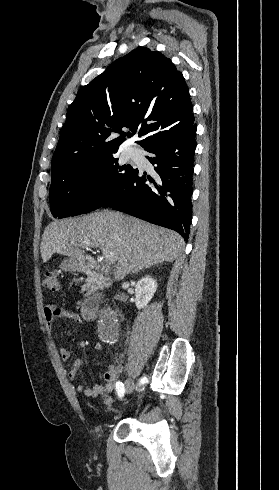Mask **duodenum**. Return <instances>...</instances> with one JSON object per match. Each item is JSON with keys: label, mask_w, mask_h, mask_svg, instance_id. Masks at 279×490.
<instances>
[{"label": "duodenum", "mask_w": 279, "mask_h": 490, "mask_svg": "<svg viewBox=\"0 0 279 490\" xmlns=\"http://www.w3.org/2000/svg\"><path fill=\"white\" fill-rule=\"evenodd\" d=\"M83 267L85 269H100V270L105 271V272L109 271L108 267L99 265L93 261L85 262L83 264ZM81 313H82V316L87 320H91L95 317L96 304H95V301L92 297H88L82 302Z\"/></svg>", "instance_id": "duodenum-1"}]
</instances>
